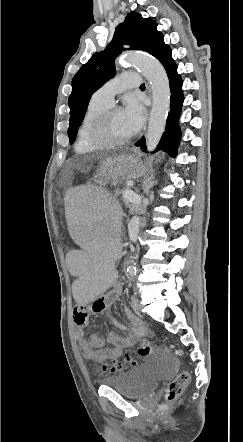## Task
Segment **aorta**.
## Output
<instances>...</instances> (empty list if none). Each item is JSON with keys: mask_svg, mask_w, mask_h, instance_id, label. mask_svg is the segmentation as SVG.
<instances>
[{"mask_svg": "<svg viewBox=\"0 0 243 442\" xmlns=\"http://www.w3.org/2000/svg\"><path fill=\"white\" fill-rule=\"evenodd\" d=\"M122 65L138 68L151 85L153 105L146 133V146L149 151H153L165 130L170 109L171 93L167 73L157 59L147 54L129 52L122 58ZM133 268L132 265L129 266V270Z\"/></svg>", "mask_w": 243, "mask_h": 442, "instance_id": "obj_1", "label": "aorta"}]
</instances>
